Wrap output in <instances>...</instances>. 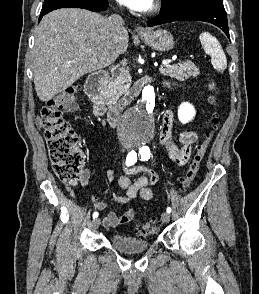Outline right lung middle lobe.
<instances>
[{
	"label": "right lung middle lobe",
	"mask_w": 259,
	"mask_h": 294,
	"mask_svg": "<svg viewBox=\"0 0 259 294\" xmlns=\"http://www.w3.org/2000/svg\"><path fill=\"white\" fill-rule=\"evenodd\" d=\"M94 0H44V4L42 6L41 11H46L53 5L60 3V2H71V3H78V4H83V3H89Z\"/></svg>",
	"instance_id": "right-lung-middle-lobe-1"
}]
</instances>
